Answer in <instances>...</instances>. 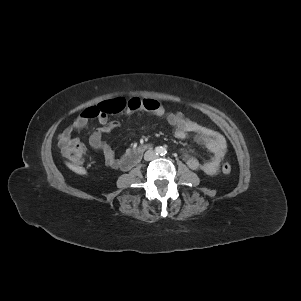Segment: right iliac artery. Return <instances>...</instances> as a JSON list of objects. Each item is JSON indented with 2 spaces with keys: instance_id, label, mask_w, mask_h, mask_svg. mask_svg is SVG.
<instances>
[{
  "instance_id": "obj_1",
  "label": "right iliac artery",
  "mask_w": 301,
  "mask_h": 301,
  "mask_svg": "<svg viewBox=\"0 0 301 301\" xmlns=\"http://www.w3.org/2000/svg\"><path fill=\"white\" fill-rule=\"evenodd\" d=\"M156 151H157V152H159V151H160V149H159V148H156Z\"/></svg>"
}]
</instances>
